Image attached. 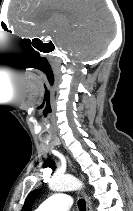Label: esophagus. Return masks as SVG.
Listing matches in <instances>:
<instances>
[{
  "label": "esophagus",
  "mask_w": 133,
  "mask_h": 211,
  "mask_svg": "<svg viewBox=\"0 0 133 211\" xmlns=\"http://www.w3.org/2000/svg\"><path fill=\"white\" fill-rule=\"evenodd\" d=\"M82 195L86 202V211H92L91 204H90V201H89L87 195L84 192H82Z\"/></svg>",
  "instance_id": "esophagus-1"
}]
</instances>
